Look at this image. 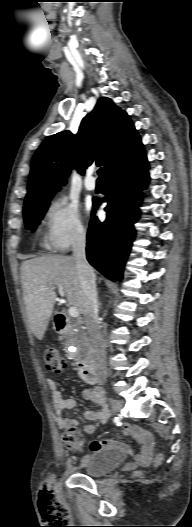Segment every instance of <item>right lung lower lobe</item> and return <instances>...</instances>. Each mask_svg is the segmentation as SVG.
<instances>
[{"instance_id":"98d812e1","label":"right lung lower lobe","mask_w":192,"mask_h":527,"mask_svg":"<svg viewBox=\"0 0 192 527\" xmlns=\"http://www.w3.org/2000/svg\"><path fill=\"white\" fill-rule=\"evenodd\" d=\"M148 162L141 144L129 157L105 174L106 196L94 201L87 233V259L112 281L122 279L123 267L135 238L142 190L149 181ZM101 202L107 218L100 222L94 213Z\"/></svg>"}]
</instances>
